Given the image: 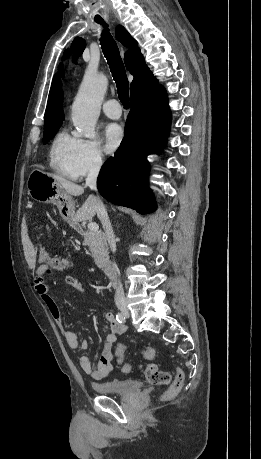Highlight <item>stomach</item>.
Returning a JSON list of instances; mask_svg holds the SVG:
<instances>
[{
    "label": "stomach",
    "mask_w": 261,
    "mask_h": 459,
    "mask_svg": "<svg viewBox=\"0 0 261 459\" xmlns=\"http://www.w3.org/2000/svg\"><path fill=\"white\" fill-rule=\"evenodd\" d=\"M28 194L41 203H52L65 215H72L69 209V196L50 173L34 169L27 180Z\"/></svg>",
    "instance_id": "0dacf381"
}]
</instances>
